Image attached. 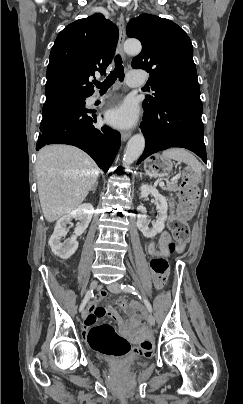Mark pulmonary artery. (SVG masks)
Returning <instances> with one entry per match:
<instances>
[{"mask_svg": "<svg viewBox=\"0 0 243 404\" xmlns=\"http://www.w3.org/2000/svg\"><path fill=\"white\" fill-rule=\"evenodd\" d=\"M126 83L128 85L131 86H138V82L134 81V80H130V79H126ZM110 96V92L108 91L105 94H94L91 97V102L92 103H97V102H103L104 100H106L108 97Z\"/></svg>", "mask_w": 243, "mask_h": 404, "instance_id": "e3ab8cb5", "label": "pulmonary artery"}]
</instances>
